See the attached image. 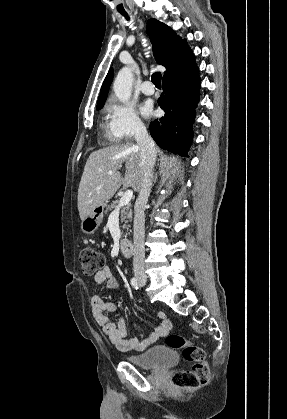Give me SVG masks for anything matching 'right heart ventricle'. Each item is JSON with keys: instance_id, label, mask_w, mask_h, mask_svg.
I'll use <instances>...</instances> for the list:
<instances>
[{"instance_id": "right-heart-ventricle-1", "label": "right heart ventricle", "mask_w": 287, "mask_h": 419, "mask_svg": "<svg viewBox=\"0 0 287 419\" xmlns=\"http://www.w3.org/2000/svg\"><path fill=\"white\" fill-rule=\"evenodd\" d=\"M102 130L104 132L105 137L111 141V142H115L117 141V138L112 134L111 129H110V122H108V118L106 116H104L103 120H102Z\"/></svg>"}]
</instances>
